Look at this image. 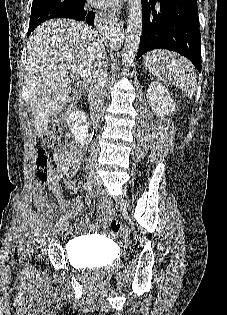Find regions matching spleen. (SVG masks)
I'll use <instances>...</instances> for the list:
<instances>
[{"instance_id":"obj_1","label":"spleen","mask_w":227,"mask_h":315,"mask_svg":"<svg viewBox=\"0 0 227 315\" xmlns=\"http://www.w3.org/2000/svg\"><path fill=\"white\" fill-rule=\"evenodd\" d=\"M149 71L161 81L175 83L189 97L196 90V74L193 65L183 57L170 51H153L144 58Z\"/></svg>"}]
</instances>
